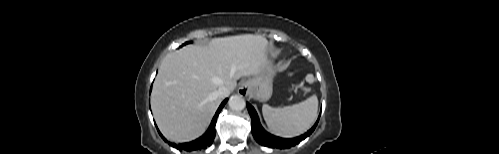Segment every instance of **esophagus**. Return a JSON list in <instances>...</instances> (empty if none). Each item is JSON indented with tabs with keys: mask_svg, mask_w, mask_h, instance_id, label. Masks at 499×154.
I'll return each mask as SVG.
<instances>
[{
	"mask_svg": "<svg viewBox=\"0 0 499 154\" xmlns=\"http://www.w3.org/2000/svg\"><path fill=\"white\" fill-rule=\"evenodd\" d=\"M250 87L247 82H243L240 84L238 88V93L241 94L242 96H247L249 94Z\"/></svg>",
	"mask_w": 499,
	"mask_h": 154,
	"instance_id": "esophagus-1",
	"label": "esophagus"
}]
</instances>
